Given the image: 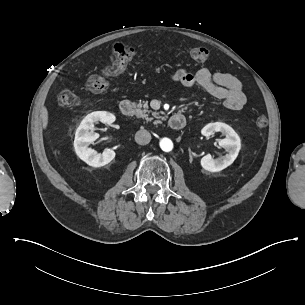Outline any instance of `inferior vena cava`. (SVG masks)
Returning a JSON list of instances; mask_svg holds the SVG:
<instances>
[{
	"label": "inferior vena cava",
	"instance_id": "1",
	"mask_svg": "<svg viewBox=\"0 0 305 305\" xmlns=\"http://www.w3.org/2000/svg\"><path fill=\"white\" fill-rule=\"evenodd\" d=\"M151 140V134L147 130H139L135 134V141L139 145H146Z\"/></svg>",
	"mask_w": 305,
	"mask_h": 305
}]
</instances>
